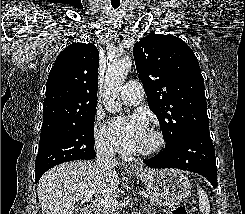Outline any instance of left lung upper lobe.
Wrapping results in <instances>:
<instances>
[{
    "instance_id": "5c2ea615",
    "label": "left lung upper lobe",
    "mask_w": 245,
    "mask_h": 214,
    "mask_svg": "<svg viewBox=\"0 0 245 214\" xmlns=\"http://www.w3.org/2000/svg\"><path fill=\"white\" fill-rule=\"evenodd\" d=\"M133 55L165 148L194 130L209 129L204 79L194 52L182 39L148 34L134 44Z\"/></svg>"
}]
</instances>
